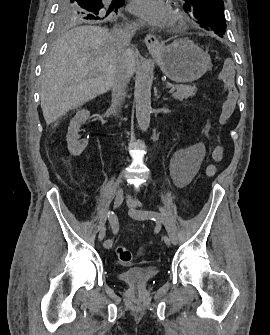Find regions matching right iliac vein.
Listing matches in <instances>:
<instances>
[{"label": "right iliac vein", "mask_w": 270, "mask_h": 335, "mask_svg": "<svg viewBox=\"0 0 270 335\" xmlns=\"http://www.w3.org/2000/svg\"><path fill=\"white\" fill-rule=\"evenodd\" d=\"M123 199H124V192L122 189H119L115 194L114 208H118L122 204ZM105 234H106V228H103L98 235V240L102 241L105 237Z\"/></svg>", "instance_id": "obj_1"}]
</instances>
